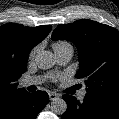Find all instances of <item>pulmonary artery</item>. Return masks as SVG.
Here are the masks:
<instances>
[{
  "label": "pulmonary artery",
  "instance_id": "obj_1",
  "mask_svg": "<svg viewBox=\"0 0 119 119\" xmlns=\"http://www.w3.org/2000/svg\"><path fill=\"white\" fill-rule=\"evenodd\" d=\"M56 55V59L58 61L59 64H65L67 62L70 61V59L73 56V49L72 47H67V48H63L61 50H58L55 52ZM43 82V78L39 77V76H35V77H29V78H25L21 81V85L23 87H28V86H32V85H38L40 83ZM86 95V90H82L79 93V99H83Z\"/></svg>",
  "mask_w": 119,
  "mask_h": 119
}]
</instances>
